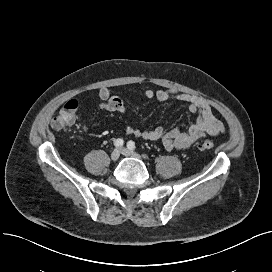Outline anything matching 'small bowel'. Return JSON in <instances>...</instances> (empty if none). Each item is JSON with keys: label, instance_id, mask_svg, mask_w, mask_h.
<instances>
[{"label": "small bowel", "instance_id": "small-bowel-1", "mask_svg": "<svg viewBox=\"0 0 272 272\" xmlns=\"http://www.w3.org/2000/svg\"><path fill=\"white\" fill-rule=\"evenodd\" d=\"M144 97L146 99H157L164 102L174 98L186 104L192 113L197 115V120L187 129L172 128L166 130L162 126H158L151 130H141L133 126H127L125 129L126 135L143 138L150 141H161L167 150H187L196 141L206 136H217L224 132L225 128L220 120H218L211 106V103L201 97L188 95L175 89L161 90H145ZM98 97L101 102L98 108L109 112L124 113L126 111V102L123 98L112 95L107 87H102L98 90ZM70 108L72 123L77 122L78 101H68L63 109ZM80 127L84 133H88L89 127L85 119L80 122Z\"/></svg>", "mask_w": 272, "mask_h": 272}]
</instances>
